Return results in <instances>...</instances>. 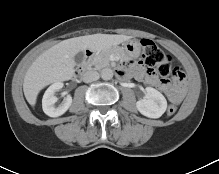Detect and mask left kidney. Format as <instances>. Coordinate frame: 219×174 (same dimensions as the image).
Returning <instances> with one entry per match:
<instances>
[{
  "instance_id": "obj_1",
  "label": "left kidney",
  "mask_w": 219,
  "mask_h": 174,
  "mask_svg": "<svg viewBox=\"0 0 219 174\" xmlns=\"http://www.w3.org/2000/svg\"><path fill=\"white\" fill-rule=\"evenodd\" d=\"M146 97L136 102L138 111L149 118L161 117L167 109L165 97L156 89L147 87Z\"/></svg>"
}]
</instances>
